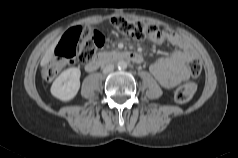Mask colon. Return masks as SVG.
<instances>
[{
    "instance_id": "1",
    "label": "colon",
    "mask_w": 238,
    "mask_h": 158,
    "mask_svg": "<svg viewBox=\"0 0 238 158\" xmlns=\"http://www.w3.org/2000/svg\"><path fill=\"white\" fill-rule=\"evenodd\" d=\"M115 29L124 36L137 39H154L161 35L158 26L140 21L115 17L112 19ZM104 43V35L97 29L77 26L68 30L59 39L54 57L48 61L42 70L45 80L54 79L68 63L77 59L80 63L86 64L91 61L95 51ZM188 70L193 77H198L202 70L201 62L198 59L189 61ZM197 85L194 81L188 82L175 91V100L180 104L187 103L193 97Z\"/></svg>"
}]
</instances>
